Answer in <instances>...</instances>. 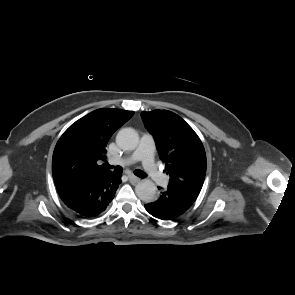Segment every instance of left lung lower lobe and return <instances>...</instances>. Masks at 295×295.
I'll list each match as a JSON object with an SVG mask.
<instances>
[{"label":"left lung lower lobe","mask_w":295,"mask_h":295,"mask_svg":"<svg viewBox=\"0 0 295 295\" xmlns=\"http://www.w3.org/2000/svg\"><path fill=\"white\" fill-rule=\"evenodd\" d=\"M162 190L161 187H158ZM198 195L168 187L160 192L159 198L145 205V209L155 218L173 220L184 214L195 202Z\"/></svg>","instance_id":"0a47b994"}]
</instances>
